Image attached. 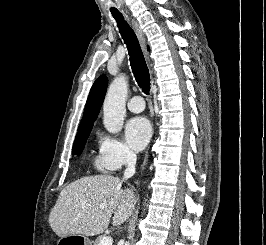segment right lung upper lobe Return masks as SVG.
<instances>
[{
  "label": "right lung upper lobe",
  "instance_id": "cb5924a9",
  "mask_svg": "<svg viewBox=\"0 0 266 245\" xmlns=\"http://www.w3.org/2000/svg\"><path fill=\"white\" fill-rule=\"evenodd\" d=\"M107 85L108 79L106 76L101 75L96 79L88 96L84 115L79 126L96 120L105 97Z\"/></svg>",
  "mask_w": 266,
  "mask_h": 245
}]
</instances>
